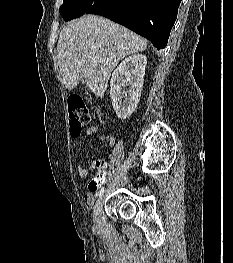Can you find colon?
Masks as SVG:
<instances>
[{
  "mask_svg": "<svg viewBox=\"0 0 233 263\" xmlns=\"http://www.w3.org/2000/svg\"><path fill=\"white\" fill-rule=\"evenodd\" d=\"M68 112L70 122V133L73 138H77L81 135L84 127L91 122L90 111L85 102L80 97H72L68 101ZM99 167L104 170L103 162L99 164ZM95 178L90 181V189H102V184L108 180L107 171H95Z\"/></svg>",
  "mask_w": 233,
  "mask_h": 263,
  "instance_id": "1",
  "label": "colon"
}]
</instances>
